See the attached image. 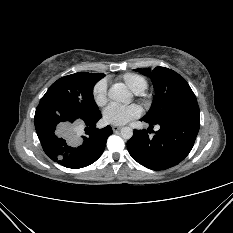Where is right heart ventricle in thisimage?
<instances>
[{
	"instance_id": "right-heart-ventricle-1",
	"label": "right heart ventricle",
	"mask_w": 233,
	"mask_h": 233,
	"mask_svg": "<svg viewBox=\"0 0 233 233\" xmlns=\"http://www.w3.org/2000/svg\"><path fill=\"white\" fill-rule=\"evenodd\" d=\"M129 89L135 93H141L147 88V80L144 76L136 73H125L119 76Z\"/></svg>"
}]
</instances>
